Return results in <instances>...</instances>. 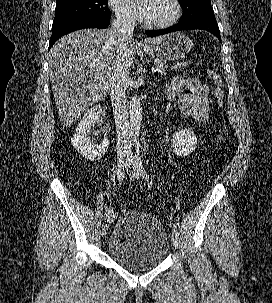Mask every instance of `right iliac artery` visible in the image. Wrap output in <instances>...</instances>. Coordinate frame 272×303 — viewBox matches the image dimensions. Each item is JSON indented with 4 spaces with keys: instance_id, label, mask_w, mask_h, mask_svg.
Here are the masks:
<instances>
[{
    "instance_id": "82829eb1",
    "label": "right iliac artery",
    "mask_w": 272,
    "mask_h": 303,
    "mask_svg": "<svg viewBox=\"0 0 272 303\" xmlns=\"http://www.w3.org/2000/svg\"><path fill=\"white\" fill-rule=\"evenodd\" d=\"M124 174H125V173H124V168L118 169V171H117V178H118L119 181H122V180H123ZM106 226H107L106 223H104V224L102 225V227H106Z\"/></svg>"
}]
</instances>
